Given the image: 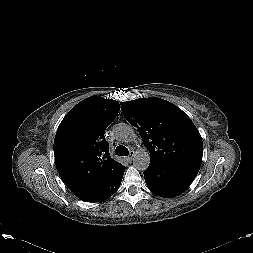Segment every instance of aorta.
<instances>
[{
    "label": "aorta",
    "mask_w": 253,
    "mask_h": 253,
    "mask_svg": "<svg viewBox=\"0 0 253 253\" xmlns=\"http://www.w3.org/2000/svg\"><path fill=\"white\" fill-rule=\"evenodd\" d=\"M114 134L117 140L130 143L137 140L134 129L131 125L125 123H119L114 127ZM133 165L138 170H146L150 165V156L146 150H139L134 154Z\"/></svg>",
    "instance_id": "1"
}]
</instances>
